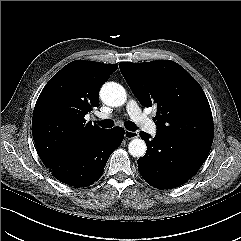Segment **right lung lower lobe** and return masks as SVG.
Returning <instances> with one entry per match:
<instances>
[{"label":"right lung lower lobe","instance_id":"right-lung-lower-lobe-1","mask_svg":"<svg viewBox=\"0 0 241 241\" xmlns=\"http://www.w3.org/2000/svg\"><path fill=\"white\" fill-rule=\"evenodd\" d=\"M124 129H105L91 140L41 160L59 181L74 186L91 185L102 175L112 152L121 144Z\"/></svg>","mask_w":241,"mask_h":241}]
</instances>
